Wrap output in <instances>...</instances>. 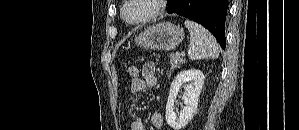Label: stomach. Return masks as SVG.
Returning a JSON list of instances; mask_svg holds the SVG:
<instances>
[{"label":"stomach","mask_w":299,"mask_h":130,"mask_svg":"<svg viewBox=\"0 0 299 130\" xmlns=\"http://www.w3.org/2000/svg\"><path fill=\"white\" fill-rule=\"evenodd\" d=\"M184 39V31L170 22H162L146 28L135 37L136 45L149 50H174Z\"/></svg>","instance_id":"obj_1"}]
</instances>
